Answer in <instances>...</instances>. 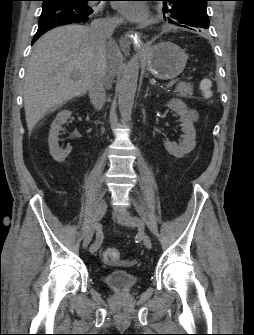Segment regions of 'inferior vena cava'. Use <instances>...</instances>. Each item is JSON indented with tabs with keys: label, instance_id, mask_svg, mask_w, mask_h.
<instances>
[{
	"label": "inferior vena cava",
	"instance_id": "obj_1",
	"mask_svg": "<svg viewBox=\"0 0 254 335\" xmlns=\"http://www.w3.org/2000/svg\"><path fill=\"white\" fill-rule=\"evenodd\" d=\"M121 22V19L115 17L92 21L89 27V34L92 41L98 45H102L107 40L111 39L115 28ZM109 84L110 80L106 72V67L100 63L90 76L88 84L90 101L95 109L99 110L103 107L106 100L105 89L108 88Z\"/></svg>",
	"mask_w": 254,
	"mask_h": 335
}]
</instances>
